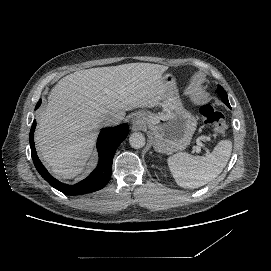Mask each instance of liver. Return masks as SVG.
I'll list each match as a JSON object with an SVG mask.
<instances>
[{
	"mask_svg": "<svg viewBox=\"0 0 271 271\" xmlns=\"http://www.w3.org/2000/svg\"><path fill=\"white\" fill-rule=\"evenodd\" d=\"M167 66L130 63L80 70L63 77L38 119L35 139L40 156L61 177H79L96 138V118L120 120L136 108L163 105L171 81Z\"/></svg>",
	"mask_w": 271,
	"mask_h": 271,
	"instance_id": "liver-1",
	"label": "liver"
}]
</instances>
